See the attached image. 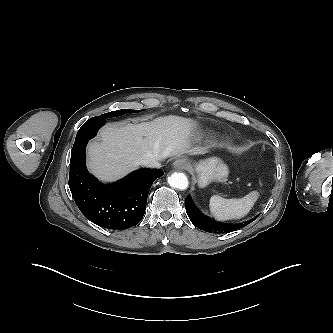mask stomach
Returning <instances> with one entry per match:
<instances>
[{"label": "stomach", "instance_id": "obj_1", "mask_svg": "<svg viewBox=\"0 0 333 333\" xmlns=\"http://www.w3.org/2000/svg\"><path fill=\"white\" fill-rule=\"evenodd\" d=\"M198 174V184L205 187L213 181H225L229 170L219 158H208L193 165Z\"/></svg>", "mask_w": 333, "mask_h": 333}]
</instances>
